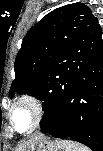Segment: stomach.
<instances>
[{"label":"stomach","instance_id":"1","mask_svg":"<svg viewBox=\"0 0 103 151\" xmlns=\"http://www.w3.org/2000/svg\"><path fill=\"white\" fill-rule=\"evenodd\" d=\"M59 143L45 137L31 140L23 151H59Z\"/></svg>","mask_w":103,"mask_h":151}]
</instances>
